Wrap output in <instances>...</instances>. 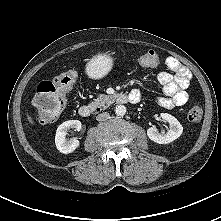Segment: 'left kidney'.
I'll use <instances>...</instances> for the list:
<instances>
[{
    "label": "left kidney",
    "instance_id": "left-kidney-1",
    "mask_svg": "<svg viewBox=\"0 0 221 221\" xmlns=\"http://www.w3.org/2000/svg\"><path fill=\"white\" fill-rule=\"evenodd\" d=\"M161 118L169 123L167 132H159L157 128L151 127L147 130V135L150 140L158 144H168L176 140L183 132V127L180 122L168 113H161Z\"/></svg>",
    "mask_w": 221,
    "mask_h": 221
}]
</instances>
